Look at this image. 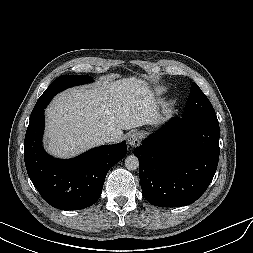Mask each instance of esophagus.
<instances>
[{"label":"esophagus","instance_id":"34e87169","mask_svg":"<svg viewBox=\"0 0 253 253\" xmlns=\"http://www.w3.org/2000/svg\"><path fill=\"white\" fill-rule=\"evenodd\" d=\"M127 142L129 146L136 147L141 143V136L137 132H132L129 134Z\"/></svg>","mask_w":253,"mask_h":253}]
</instances>
